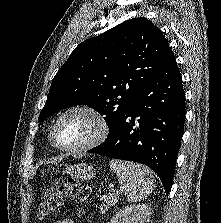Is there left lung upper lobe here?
Here are the masks:
<instances>
[{
  "label": "left lung upper lobe",
  "mask_w": 221,
  "mask_h": 223,
  "mask_svg": "<svg viewBox=\"0 0 221 223\" xmlns=\"http://www.w3.org/2000/svg\"><path fill=\"white\" fill-rule=\"evenodd\" d=\"M168 51L161 30L144 17L82 42L55 75L39 122L63 108L87 105L105 115L109 137Z\"/></svg>",
  "instance_id": "obj_1"
}]
</instances>
